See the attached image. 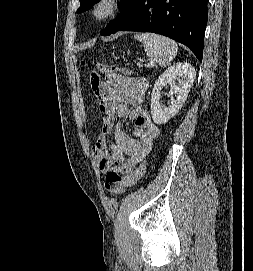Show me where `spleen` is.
Returning a JSON list of instances; mask_svg holds the SVG:
<instances>
[{"label": "spleen", "instance_id": "3e777b00", "mask_svg": "<svg viewBox=\"0 0 253 271\" xmlns=\"http://www.w3.org/2000/svg\"><path fill=\"white\" fill-rule=\"evenodd\" d=\"M134 37L143 43L147 56L155 59L161 67H166L176 57L178 45L168 37L154 33H138Z\"/></svg>", "mask_w": 253, "mask_h": 271}]
</instances>
